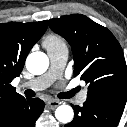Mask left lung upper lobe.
<instances>
[{"instance_id": "obj_1", "label": "left lung upper lobe", "mask_w": 127, "mask_h": 127, "mask_svg": "<svg viewBox=\"0 0 127 127\" xmlns=\"http://www.w3.org/2000/svg\"><path fill=\"white\" fill-rule=\"evenodd\" d=\"M49 26L71 45L74 73L88 84L87 101L124 109L127 66L113 34L81 14L51 19Z\"/></svg>"}]
</instances>
